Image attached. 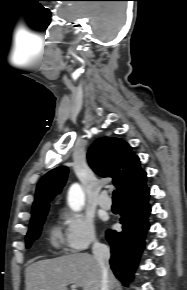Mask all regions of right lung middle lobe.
<instances>
[{"mask_svg": "<svg viewBox=\"0 0 187 290\" xmlns=\"http://www.w3.org/2000/svg\"><path fill=\"white\" fill-rule=\"evenodd\" d=\"M46 214H42L30 222L29 231L26 235V247L29 248L34 240H36L41 233L42 225L44 223Z\"/></svg>", "mask_w": 187, "mask_h": 290, "instance_id": "obj_1", "label": "right lung middle lobe"}]
</instances>
